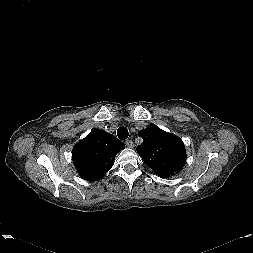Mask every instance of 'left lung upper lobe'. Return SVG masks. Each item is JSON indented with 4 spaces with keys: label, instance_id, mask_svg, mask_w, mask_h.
<instances>
[{
    "label": "left lung upper lobe",
    "instance_id": "obj_1",
    "mask_svg": "<svg viewBox=\"0 0 253 253\" xmlns=\"http://www.w3.org/2000/svg\"><path fill=\"white\" fill-rule=\"evenodd\" d=\"M139 136L143 142L136 150L158 176L170 177L182 169L186 161V151L179 137L155 125L141 130Z\"/></svg>",
    "mask_w": 253,
    "mask_h": 253
}]
</instances>
